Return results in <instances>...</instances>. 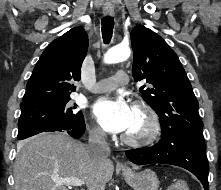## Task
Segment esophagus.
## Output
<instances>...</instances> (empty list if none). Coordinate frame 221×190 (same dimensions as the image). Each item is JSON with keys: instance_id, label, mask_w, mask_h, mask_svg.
I'll use <instances>...</instances> for the list:
<instances>
[{"instance_id": "esophagus-1", "label": "esophagus", "mask_w": 221, "mask_h": 190, "mask_svg": "<svg viewBox=\"0 0 221 190\" xmlns=\"http://www.w3.org/2000/svg\"><path fill=\"white\" fill-rule=\"evenodd\" d=\"M103 12L106 16H113L114 15V8L111 5V3H105L103 6ZM123 167H126V165H123Z\"/></svg>"}]
</instances>
